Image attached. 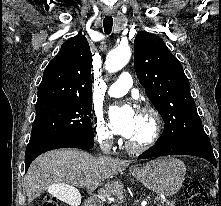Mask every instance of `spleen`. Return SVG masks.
I'll return each mask as SVG.
<instances>
[{"instance_id":"3e777b00","label":"spleen","mask_w":221,"mask_h":206,"mask_svg":"<svg viewBox=\"0 0 221 206\" xmlns=\"http://www.w3.org/2000/svg\"><path fill=\"white\" fill-rule=\"evenodd\" d=\"M215 195V191H212V196Z\"/></svg>"}]
</instances>
